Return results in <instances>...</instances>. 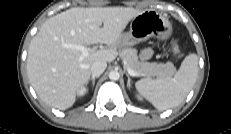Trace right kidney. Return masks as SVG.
I'll return each instance as SVG.
<instances>
[{"instance_id": "ca27d5eb", "label": "right kidney", "mask_w": 231, "mask_h": 134, "mask_svg": "<svg viewBox=\"0 0 231 134\" xmlns=\"http://www.w3.org/2000/svg\"><path fill=\"white\" fill-rule=\"evenodd\" d=\"M86 92H87L86 88H85V87H82V88L79 90L78 95H79V96H83V95L86 94Z\"/></svg>"}]
</instances>
